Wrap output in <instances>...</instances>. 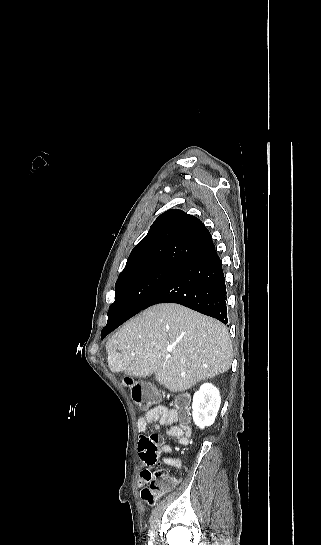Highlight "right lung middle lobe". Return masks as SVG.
<instances>
[{
	"mask_svg": "<svg viewBox=\"0 0 321 545\" xmlns=\"http://www.w3.org/2000/svg\"><path fill=\"white\" fill-rule=\"evenodd\" d=\"M178 266L152 265L121 273L115 285V301L108 312V322L127 320L142 310L153 294Z\"/></svg>",
	"mask_w": 321,
	"mask_h": 545,
	"instance_id": "obj_1",
	"label": "right lung middle lobe"
}]
</instances>
